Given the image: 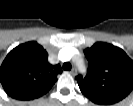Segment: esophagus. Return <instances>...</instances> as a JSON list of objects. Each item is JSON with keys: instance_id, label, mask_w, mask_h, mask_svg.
Returning a JSON list of instances; mask_svg holds the SVG:
<instances>
[{"instance_id": "1", "label": "esophagus", "mask_w": 133, "mask_h": 106, "mask_svg": "<svg viewBox=\"0 0 133 106\" xmlns=\"http://www.w3.org/2000/svg\"><path fill=\"white\" fill-rule=\"evenodd\" d=\"M70 74H71L72 76H76V74H77V69H76V68H72V70L70 71Z\"/></svg>"}]
</instances>
